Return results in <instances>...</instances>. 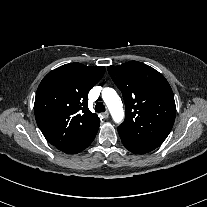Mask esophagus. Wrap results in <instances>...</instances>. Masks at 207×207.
<instances>
[{"instance_id": "obj_1", "label": "esophagus", "mask_w": 207, "mask_h": 207, "mask_svg": "<svg viewBox=\"0 0 207 207\" xmlns=\"http://www.w3.org/2000/svg\"><path fill=\"white\" fill-rule=\"evenodd\" d=\"M103 117H104V118H108V117H109V112H105V113H103Z\"/></svg>"}]
</instances>
